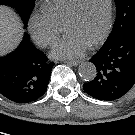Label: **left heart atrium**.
I'll return each mask as SVG.
<instances>
[{"mask_svg":"<svg viewBox=\"0 0 135 135\" xmlns=\"http://www.w3.org/2000/svg\"><path fill=\"white\" fill-rule=\"evenodd\" d=\"M88 45L74 35H67L60 41L54 50L52 56L58 59H70L82 56Z\"/></svg>","mask_w":135,"mask_h":135,"instance_id":"39dd6f15","label":"left heart atrium"}]
</instances>
